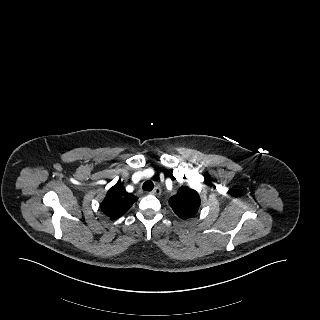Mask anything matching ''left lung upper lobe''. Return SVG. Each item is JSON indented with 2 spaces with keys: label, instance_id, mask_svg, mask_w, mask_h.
I'll return each mask as SVG.
<instances>
[{
  "label": "left lung upper lobe",
  "instance_id": "5c2ea615",
  "mask_svg": "<svg viewBox=\"0 0 320 320\" xmlns=\"http://www.w3.org/2000/svg\"><path fill=\"white\" fill-rule=\"evenodd\" d=\"M169 205L181 219H188L197 213L200 207V197L195 190L183 186L176 195L170 198Z\"/></svg>",
  "mask_w": 320,
  "mask_h": 320
}]
</instances>
